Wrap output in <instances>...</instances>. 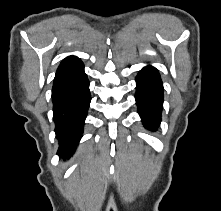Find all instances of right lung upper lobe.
Masks as SVG:
<instances>
[{"instance_id":"right-lung-upper-lobe-1","label":"right lung upper lobe","mask_w":221,"mask_h":211,"mask_svg":"<svg viewBox=\"0 0 221 211\" xmlns=\"http://www.w3.org/2000/svg\"><path fill=\"white\" fill-rule=\"evenodd\" d=\"M82 64H83L82 61L78 57L68 56L61 62V64L59 65L57 69L56 74L74 69Z\"/></svg>"}]
</instances>
